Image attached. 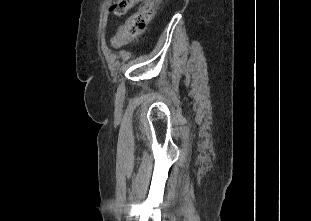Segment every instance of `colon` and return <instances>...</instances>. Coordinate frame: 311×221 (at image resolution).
Wrapping results in <instances>:
<instances>
[{
	"instance_id": "5ec220e1",
	"label": "colon",
	"mask_w": 311,
	"mask_h": 221,
	"mask_svg": "<svg viewBox=\"0 0 311 221\" xmlns=\"http://www.w3.org/2000/svg\"><path fill=\"white\" fill-rule=\"evenodd\" d=\"M138 0H118L110 1L111 15L113 17H126V12H130L133 4ZM163 0H144L139 10L130 15L127 21L118 29L116 36L112 39V45L119 47L138 37L148 26L156 15Z\"/></svg>"
}]
</instances>
